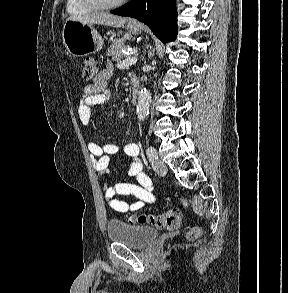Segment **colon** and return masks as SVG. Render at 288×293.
Here are the masks:
<instances>
[{
  "instance_id": "5ec220e1",
  "label": "colon",
  "mask_w": 288,
  "mask_h": 293,
  "mask_svg": "<svg viewBox=\"0 0 288 293\" xmlns=\"http://www.w3.org/2000/svg\"><path fill=\"white\" fill-rule=\"evenodd\" d=\"M82 73L85 80L92 81L99 73L98 63L91 58L85 59L82 66ZM130 222L139 224L150 223L158 228L173 229L181 224L182 213L177 209H171L159 215L131 216ZM200 234V229H193L188 232L187 237L190 240H194L198 238Z\"/></svg>"
}]
</instances>
